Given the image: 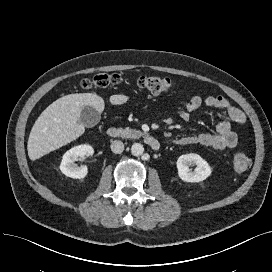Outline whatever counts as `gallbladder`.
Here are the masks:
<instances>
[{
	"instance_id": "obj_1",
	"label": "gallbladder",
	"mask_w": 272,
	"mask_h": 272,
	"mask_svg": "<svg viewBox=\"0 0 272 272\" xmlns=\"http://www.w3.org/2000/svg\"><path fill=\"white\" fill-rule=\"evenodd\" d=\"M100 121V113L92 106H84L80 116V122L87 128L94 127Z\"/></svg>"
}]
</instances>
